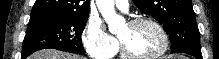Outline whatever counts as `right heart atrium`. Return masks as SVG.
Returning <instances> with one entry per match:
<instances>
[{"instance_id":"d8ad5b80","label":"right heart atrium","mask_w":219,"mask_h":59,"mask_svg":"<svg viewBox=\"0 0 219 59\" xmlns=\"http://www.w3.org/2000/svg\"><path fill=\"white\" fill-rule=\"evenodd\" d=\"M82 43L86 53L93 59H108L117 49L115 39L105 31L97 19H90L86 24Z\"/></svg>"}]
</instances>
